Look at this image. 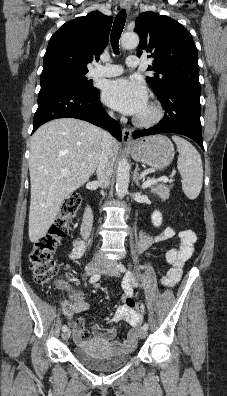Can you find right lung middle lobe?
<instances>
[{"mask_svg": "<svg viewBox=\"0 0 227 396\" xmlns=\"http://www.w3.org/2000/svg\"><path fill=\"white\" fill-rule=\"evenodd\" d=\"M86 70H76L71 68H52L41 73V89L52 86H67L78 91L91 93L97 90L92 81L85 77Z\"/></svg>", "mask_w": 227, "mask_h": 396, "instance_id": "obj_1", "label": "right lung middle lobe"}]
</instances>
